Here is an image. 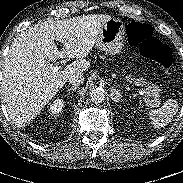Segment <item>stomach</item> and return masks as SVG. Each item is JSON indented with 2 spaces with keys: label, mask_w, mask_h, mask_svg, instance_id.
<instances>
[{
  "label": "stomach",
  "mask_w": 183,
  "mask_h": 183,
  "mask_svg": "<svg viewBox=\"0 0 183 183\" xmlns=\"http://www.w3.org/2000/svg\"><path fill=\"white\" fill-rule=\"evenodd\" d=\"M125 30V25L121 20L115 18L108 20L97 36L96 47L111 56L120 53L123 48Z\"/></svg>",
  "instance_id": "1"
}]
</instances>
